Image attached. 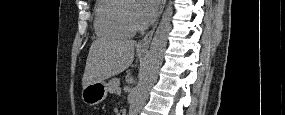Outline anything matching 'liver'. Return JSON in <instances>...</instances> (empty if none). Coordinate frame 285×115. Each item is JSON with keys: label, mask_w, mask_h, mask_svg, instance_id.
Instances as JSON below:
<instances>
[{"label": "liver", "mask_w": 285, "mask_h": 115, "mask_svg": "<svg viewBox=\"0 0 285 115\" xmlns=\"http://www.w3.org/2000/svg\"><path fill=\"white\" fill-rule=\"evenodd\" d=\"M134 46V40L121 37L95 40L87 57L83 88L94 82H103L127 69L134 60Z\"/></svg>", "instance_id": "6515ba94"}]
</instances>
